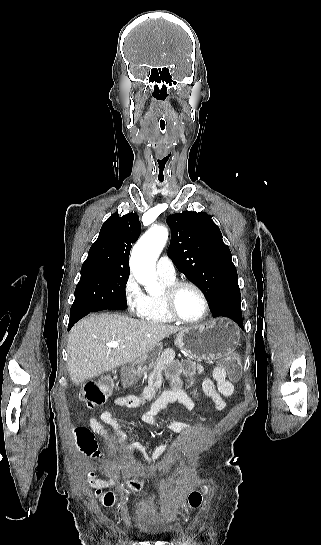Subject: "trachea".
Masks as SVG:
<instances>
[{
    "label": "trachea",
    "mask_w": 321,
    "mask_h": 545,
    "mask_svg": "<svg viewBox=\"0 0 321 545\" xmlns=\"http://www.w3.org/2000/svg\"><path fill=\"white\" fill-rule=\"evenodd\" d=\"M160 125H161V126H160V129H161L160 131H161V133H163V134L166 133V131H167V130H166V129H167V126H166V125H167V122H166L165 120H162V121L160 122Z\"/></svg>",
    "instance_id": "3493384b"
}]
</instances>
